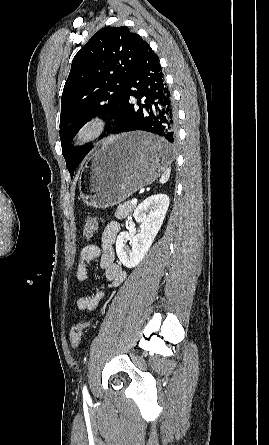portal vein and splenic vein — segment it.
<instances>
[{
    "mask_svg": "<svg viewBox=\"0 0 269 445\" xmlns=\"http://www.w3.org/2000/svg\"><path fill=\"white\" fill-rule=\"evenodd\" d=\"M131 203H132L133 205L137 204V199H135V198L132 199V200H131Z\"/></svg>",
    "mask_w": 269,
    "mask_h": 445,
    "instance_id": "18ae733b",
    "label": "portal vein and splenic vein"
}]
</instances>
